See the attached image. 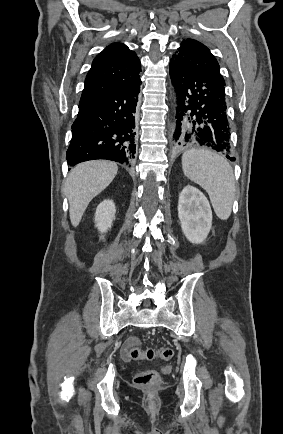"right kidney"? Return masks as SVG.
<instances>
[{"instance_id":"right-kidney-1","label":"right kidney","mask_w":283,"mask_h":434,"mask_svg":"<svg viewBox=\"0 0 283 434\" xmlns=\"http://www.w3.org/2000/svg\"><path fill=\"white\" fill-rule=\"evenodd\" d=\"M116 208L112 200H104L101 202L95 213L96 227L101 233H105L112 226L115 218Z\"/></svg>"}]
</instances>
